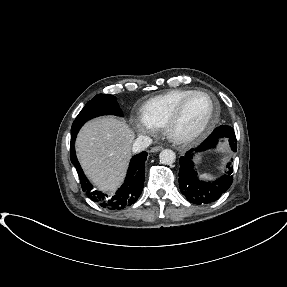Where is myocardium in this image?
<instances>
[{"instance_id":"1","label":"myocardium","mask_w":287,"mask_h":287,"mask_svg":"<svg viewBox=\"0 0 287 287\" xmlns=\"http://www.w3.org/2000/svg\"><path fill=\"white\" fill-rule=\"evenodd\" d=\"M197 95L206 96L211 103L210 113L205 120V122L196 130L188 133H179L176 129L178 122L180 121L184 108L188 101ZM219 114V106L212 95L205 91L195 90L187 95L181 102L177 105L173 113L165 121L163 128L167 137L178 144H189L196 140L203 138L208 134L213 126L215 125Z\"/></svg>"}]
</instances>
